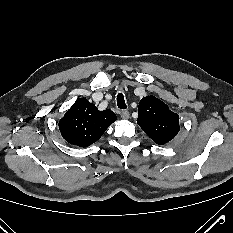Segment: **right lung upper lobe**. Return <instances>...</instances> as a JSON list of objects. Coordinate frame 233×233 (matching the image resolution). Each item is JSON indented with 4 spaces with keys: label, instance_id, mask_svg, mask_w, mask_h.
<instances>
[{
    "label": "right lung upper lobe",
    "instance_id": "1",
    "mask_svg": "<svg viewBox=\"0 0 233 233\" xmlns=\"http://www.w3.org/2000/svg\"><path fill=\"white\" fill-rule=\"evenodd\" d=\"M116 121L110 109L99 111L85 98H79L59 121L62 137L70 144L87 147L96 142Z\"/></svg>",
    "mask_w": 233,
    "mask_h": 233
}]
</instances>
